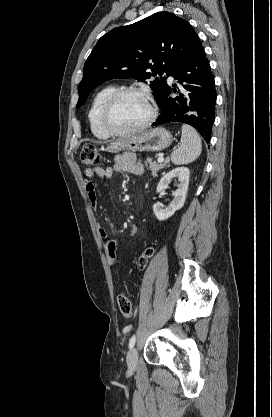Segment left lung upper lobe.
<instances>
[{"label":"left lung upper lobe","instance_id":"5c2ea615","mask_svg":"<svg viewBox=\"0 0 272 417\" xmlns=\"http://www.w3.org/2000/svg\"><path fill=\"white\" fill-rule=\"evenodd\" d=\"M200 47L199 37L191 25L170 12H158L134 24L115 28L99 39L84 64L77 107L83 105L96 86L112 78L145 81L155 77L150 87L158 102L167 86V78L162 74L169 76Z\"/></svg>","mask_w":272,"mask_h":417}]
</instances>
